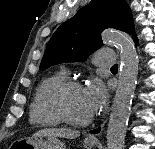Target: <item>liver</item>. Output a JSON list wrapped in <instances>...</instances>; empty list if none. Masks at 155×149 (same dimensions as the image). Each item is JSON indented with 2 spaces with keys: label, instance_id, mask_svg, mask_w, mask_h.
<instances>
[{
  "label": "liver",
  "instance_id": "6515ba94",
  "mask_svg": "<svg viewBox=\"0 0 155 149\" xmlns=\"http://www.w3.org/2000/svg\"><path fill=\"white\" fill-rule=\"evenodd\" d=\"M40 135H49L55 137H63L68 139H75L80 136V131L78 130H71L67 128H48L42 129L37 131L33 134V137L40 136Z\"/></svg>",
  "mask_w": 155,
  "mask_h": 149
}]
</instances>
